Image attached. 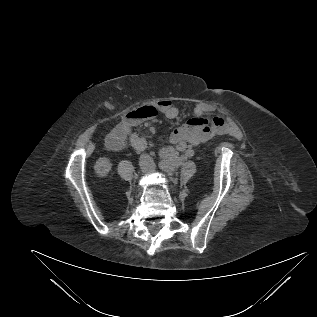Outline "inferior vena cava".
<instances>
[{"label":"inferior vena cava","instance_id":"1","mask_svg":"<svg viewBox=\"0 0 317 317\" xmlns=\"http://www.w3.org/2000/svg\"><path fill=\"white\" fill-rule=\"evenodd\" d=\"M140 166L144 169H151L154 167V161L148 154H142L140 156Z\"/></svg>","mask_w":317,"mask_h":317}]
</instances>
